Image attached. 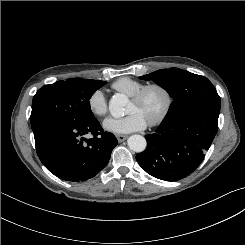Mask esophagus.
Wrapping results in <instances>:
<instances>
[{
	"label": "esophagus",
	"mask_w": 245,
	"mask_h": 245,
	"mask_svg": "<svg viewBox=\"0 0 245 245\" xmlns=\"http://www.w3.org/2000/svg\"><path fill=\"white\" fill-rule=\"evenodd\" d=\"M116 138L119 142H123L127 138V135L117 134Z\"/></svg>",
	"instance_id": "34e87169"
}]
</instances>
